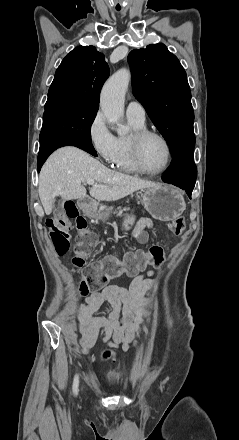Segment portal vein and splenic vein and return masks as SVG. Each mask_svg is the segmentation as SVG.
<instances>
[{
  "mask_svg": "<svg viewBox=\"0 0 239 440\" xmlns=\"http://www.w3.org/2000/svg\"><path fill=\"white\" fill-rule=\"evenodd\" d=\"M88 186H93V188H99L97 184H95L94 180H87Z\"/></svg>",
  "mask_w": 239,
  "mask_h": 440,
  "instance_id": "portal-vein-and-splenic-vein-1",
  "label": "portal vein and splenic vein"
}]
</instances>
